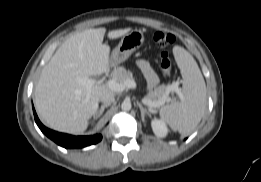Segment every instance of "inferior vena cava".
<instances>
[{
    "label": "inferior vena cava",
    "instance_id": "obj_1",
    "mask_svg": "<svg viewBox=\"0 0 261 182\" xmlns=\"http://www.w3.org/2000/svg\"><path fill=\"white\" fill-rule=\"evenodd\" d=\"M115 101V97H114V94H111V93H108V94H105L101 97V102L104 104V105H110L111 103H113Z\"/></svg>",
    "mask_w": 261,
    "mask_h": 182
}]
</instances>
